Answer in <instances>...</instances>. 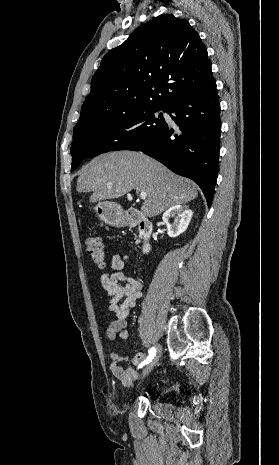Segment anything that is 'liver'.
<instances>
[{
    "label": "liver",
    "instance_id": "obj_1",
    "mask_svg": "<svg viewBox=\"0 0 279 465\" xmlns=\"http://www.w3.org/2000/svg\"><path fill=\"white\" fill-rule=\"evenodd\" d=\"M76 189L79 193L92 192L90 203L116 199L132 189L146 192L141 211L150 218L198 196L195 183L135 151H114L95 157L81 169Z\"/></svg>",
    "mask_w": 279,
    "mask_h": 465
}]
</instances>
